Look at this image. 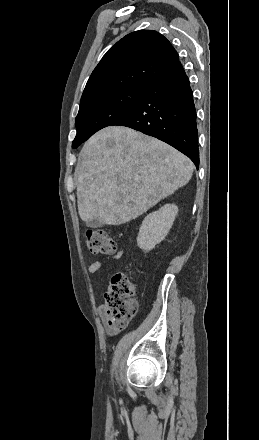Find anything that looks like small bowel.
<instances>
[{
    "instance_id": "obj_1",
    "label": "small bowel",
    "mask_w": 259,
    "mask_h": 440,
    "mask_svg": "<svg viewBox=\"0 0 259 440\" xmlns=\"http://www.w3.org/2000/svg\"><path fill=\"white\" fill-rule=\"evenodd\" d=\"M122 256H123V250L120 248V249L116 250V252L114 253V255L111 258L114 260H118ZM101 268H102V263L100 261H94L89 265L88 271L93 274V273L98 272ZM98 311H99V314L104 322V328H105L106 333L110 336L117 334L118 329L111 327L110 325H108V323L106 321L103 305L99 307Z\"/></svg>"
}]
</instances>
